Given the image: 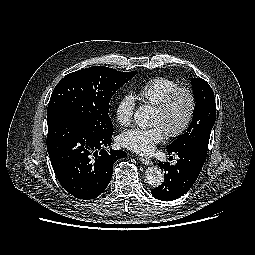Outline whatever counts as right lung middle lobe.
<instances>
[{
    "mask_svg": "<svg viewBox=\"0 0 255 255\" xmlns=\"http://www.w3.org/2000/svg\"><path fill=\"white\" fill-rule=\"evenodd\" d=\"M136 73L95 66L66 75L52 92L47 119L64 113L97 134H112L110 100Z\"/></svg>",
    "mask_w": 255,
    "mask_h": 255,
    "instance_id": "right-lung-middle-lobe-1",
    "label": "right lung middle lobe"
}]
</instances>
